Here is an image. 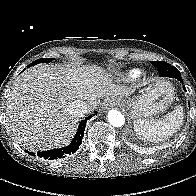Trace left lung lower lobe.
Wrapping results in <instances>:
<instances>
[{
  "label": "left lung lower lobe",
  "instance_id": "left-lung-lower-lobe-1",
  "mask_svg": "<svg viewBox=\"0 0 196 196\" xmlns=\"http://www.w3.org/2000/svg\"><path fill=\"white\" fill-rule=\"evenodd\" d=\"M170 76L173 77V78L178 79L181 83H183L182 78H181V75H173V74H170ZM183 88L186 91L185 86H183Z\"/></svg>",
  "mask_w": 196,
  "mask_h": 196
}]
</instances>
